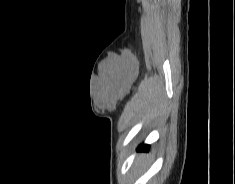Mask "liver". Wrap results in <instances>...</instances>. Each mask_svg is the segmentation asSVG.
Listing matches in <instances>:
<instances>
[{"mask_svg":"<svg viewBox=\"0 0 235 184\" xmlns=\"http://www.w3.org/2000/svg\"><path fill=\"white\" fill-rule=\"evenodd\" d=\"M144 160H143V156H138L137 158V166H143V168H145V164H143Z\"/></svg>","mask_w":235,"mask_h":184,"instance_id":"liver-1","label":"liver"}]
</instances>
